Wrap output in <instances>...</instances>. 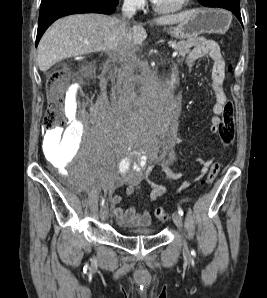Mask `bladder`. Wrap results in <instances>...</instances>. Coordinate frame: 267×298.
Segmentation results:
<instances>
[{
	"label": "bladder",
	"mask_w": 267,
	"mask_h": 298,
	"mask_svg": "<svg viewBox=\"0 0 267 298\" xmlns=\"http://www.w3.org/2000/svg\"><path fill=\"white\" fill-rule=\"evenodd\" d=\"M130 235H132L133 233H129ZM144 236H150V235H152V231H150V232H148L147 234H143Z\"/></svg>",
	"instance_id": "31cf9c89"
}]
</instances>
